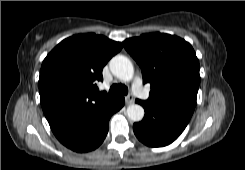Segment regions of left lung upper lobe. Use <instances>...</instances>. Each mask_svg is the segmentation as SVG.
Wrapping results in <instances>:
<instances>
[{"instance_id":"1","label":"left lung upper lobe","mask_w":245,"mask_h":170,"mask_svg":"<svg viewBox=\"0 0 245 170\" xmlns=\"http://www.w3.org/2000/svg\"><path fill=\"white\" fill-rule=\"evenodd\" d=\"M125 49L150 83L147 103L192 116L200 83L199 60L192 46L169 34L150 33L129 38Z\"/></svg>"}]
</instances>
